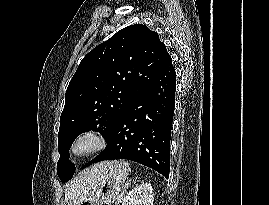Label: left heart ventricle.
Returning <instances> with one entry per match:
<instances>
[{"label": "left heart ventricle", "mask_w": 269, "mask_h": 205, "mask_svg": "<svg viewBox=\"0 0 269 205\" xmlns=\"http://www.w3.org/2000/svg\"><path fill=\"white\" fill-rule=\"evenodd\" d=\"M90 146H91V142H90L89 140H84V141L80 142V143L77 145L76 150H77L78 152H82V151L87 150Z\"/></svg>", "instance_id": "left-heart-ventricle-1"}]
</instances>
